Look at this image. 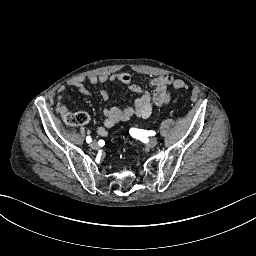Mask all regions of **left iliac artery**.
<instances>
[{"instance_id":"obj_1","label":"left iliac artery","mask_w":256,"mask_h":256,"mask_svg":"<svg viewBox=\"0 0 256 256\" xmlns=\"http://www.w3.org/2000/svg\"><path fill=\"white\" fill-rule=\"evenodd\" d=\"M129 132L132 137L137 138L139 140L142 139L143 137L154 136L156 134L152 130L146 131V130L137 129V128H131Z\"/></svg>"}]
</instances>
